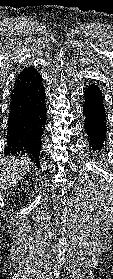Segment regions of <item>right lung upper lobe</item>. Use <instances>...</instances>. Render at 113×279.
<instances>
[{
    "label": "right lung upper lobe",
    "instance_id": "right-lung-upper-lobe-1",
    "mask_svg": "<svg viewBox=\"0 0 113 279\" xmlns=\"http://www.w3.org/2000/svg\"><path fill=\"white\" fill-rule=\"evenodd\" d=\"M27 69H28V68H25L19 75H21V74H22L23 72H25ZM19 75H18V76H19Z\"/></svg>",
    "mask_w": 113,
    "mask_h": 279
}]
</instances>
